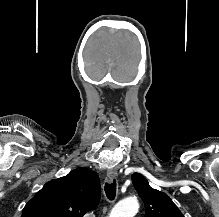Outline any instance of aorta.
Instances as JSON below:
<instances>
[{"label": "aorta", "mask_w": 219, "mask_h": 217, "mask_svg": "<svg viewBox=\"0 0 219 217\" xmlns=\"http://www.w3.org/2000/svg\"><path fill=\"white\" fill-rule=\"evenodd\" d=\"M138 208L139 203L136 198H127L115 205L109 217H134Z\"/></svg>", "instance_id": "762f6f07"}]
</instances>
